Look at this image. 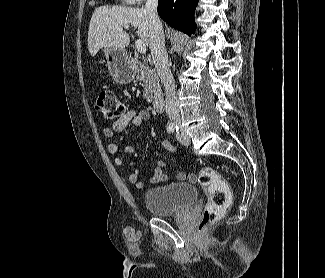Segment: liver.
Here are the masks:
<instances>
[{
	"label": "liver",
	"mask_w": 325,
	"mask_h": 278,
	"mask_svg": "<svg viewBox=\"0 0 325 278\" xmlns=\"http://www.w3.org/2000/svg\"><path fill=\"white\" fill-rule=\"evenodd\" d=\"M133 27L146 45L150 43L148 14L143 8L100 6L92 14L88 30V49L95 56L101 48L124 49L130 37L125 30Z\"/></svg>",
	"instance_id": "obj_1"
}]
</instances>
